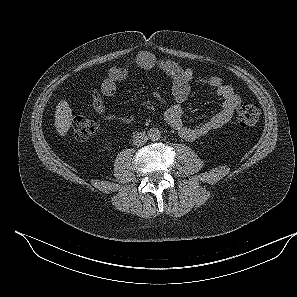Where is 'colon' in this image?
I'll use <instances>...</instances> for the list:
<instances>
[{
  "label": "colon",
  "instance_id": "colon-1",
  "mask_svg": "<svg viewBox=\"0 0 297 297\" xmlns=\"http://www.w3.org/2000/svg\"><path fill=\"white\" fill-rule=\"evenodd\" d=\"M261 115L259 105L253 103H243L237 110L238 122L244 127L255 125ZM74 136L78 140H84L94 135L96 124L91 119L77 115L72 119Z\"/></svg>",
  "mask_w": 297,
  "mask_h": 297
}]
</instances>
